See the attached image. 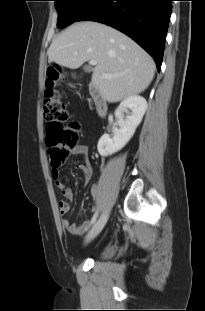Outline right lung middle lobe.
Wrapping results in <instances>:
<instances>
[{
  "instance_id": "dd1d6c3e",
  "label": "right lung middle lobe",
  "mask_w": 205,
  "mask_h": 311,
  "mask_svg": "<svg viewBox=\"0 0 205 311\" xmlns=\"http://www.w3.org/2000/svg\"><path fill=\"white\" fill-rule=\"evenodd\" d=\"M58 12L57 27H65L76 22L97 0H54Z\"/></svg>"
}]
</instances>
